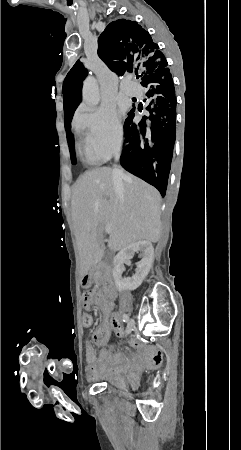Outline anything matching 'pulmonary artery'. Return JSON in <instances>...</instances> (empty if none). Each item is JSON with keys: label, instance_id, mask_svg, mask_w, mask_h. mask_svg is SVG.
<instances>
[{"label": "pulmonary artery", "instance_id": "pulmonary-artery-1", "mask_svg": "<svg viewBox=\"0 0 241 450\" xmlns=\"http://www.w3.org/2000/svg\"><path fill=\"white\" fill-rule=\"evenodd\" d=\"M121 89L125 90L126 87H130L132 85V80L130 78H123L121 80Z\"/></svg>", "mask_w": 241, "mask_h": 450}]
</instances>
